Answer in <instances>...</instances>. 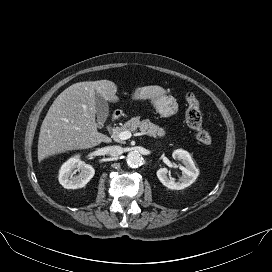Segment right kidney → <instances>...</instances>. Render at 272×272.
<instances>
[{"mask_svg": "<svg viewBox=\"0 0 272 272\" xmlns=\"http://www.w3.org/2000/svg\"><path fill=\"white\" fill-rule=\"evenodd\" d=\"M79 171L78 175H74ZM94 168L79 159L76 155L66 161L59 170V182L66 189L84 187L94 176Z\"/></svg>", "mask_w": 272, "mask_h": 272, "instance_id": "ca27d5eb", "label": "right kidney"}]
</instances>
